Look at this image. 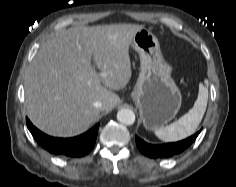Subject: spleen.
I'll return each mask as SVG.
<instances>
[{"label":"spleen","instance_id":"obj_1","mask_svg":"<svg viewBox=\"0 0 236 187\" xmlns=\"http://www.w3.org/2000/svg\"><path fill=\"white\" fill-rule=\"evenodd\" d=\"M208 99L207 88L199 86L198 98L193 108L178 121L154 131L155 135L166 142L178 141L192 135L200 124L206 110Z\"/></svg>","mask_w":236,"mask_h":187}]
</instances>
